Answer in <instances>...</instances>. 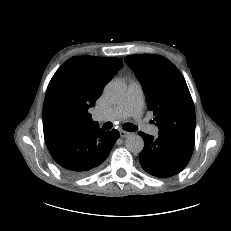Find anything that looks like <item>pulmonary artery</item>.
Returning <instances> with one entry per match:
<instances>
[{
  "mask_svg": "<svg viewBox=\"0 0 231 231\" xmlns=\"http://www.w3.org/2000/svg\"><path fill=\"white\" fill-rule=\"evenodd\" d=\"M144 106V93L141 83L132 80L128 86V94L126 100L119 106L111 108L105 112L96 113L94 118L97 121H118L127 117L139 119L142 115ZM143 130L151 135H158L159 128L155 125L143 124Z\"/></svg>",
  "mask_w": 231,
  "mask_h": 231,
  "instance_id": "1",
  "label": "pulmonary artery"
}]
</instances>
